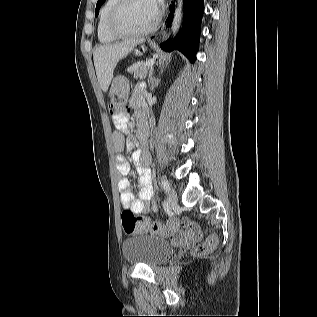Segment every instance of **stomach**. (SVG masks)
Returning a JSON list of instances; mask_svg holds the SVG:
<instances>
[{"label":"stomach","mask_w":317,"mask_h":317,"mask_svg":"<svg viewBox=\"0 0 317 317\" xmlns=\"http://www.w3.org/2000/svg\"><path fill=\"white\" fill-rule=\"evenodd\" d=\"M142 48L144 49V46H142ZM136 53H140L139 51H136ZM119 68L120 69H126L127 68V65L126 64H120L119 65Z\"/></svg>","instance_id":"1"}]
</instances>
